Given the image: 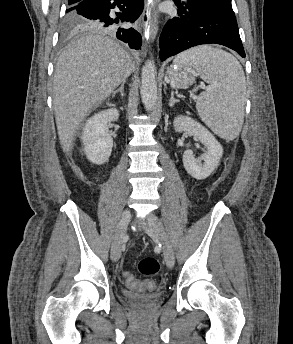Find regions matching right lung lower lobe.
Wrapping results in <instances>:
<instances>
[{
  "mask_svg": "<svg viewBox=\"0 0 293 344\" xmlns=\"http://www.w3.org/2000/svg\"><path fill=\"white\" fill-rule=\"evenodd\" d=\"M144 0H81L74 6V11L91 21L92 29H102L132 49L141 47V35L121 22H134L142 13ZM121 12L113 13V9Z\"/></svg>",
  "mask_w": 293,
  "mask_h": 344,
  "instance_id": "1",
  "label": "right lung lower lobe"
}]
</instances>
